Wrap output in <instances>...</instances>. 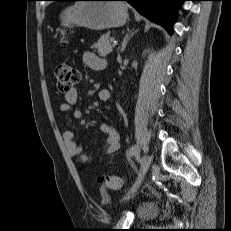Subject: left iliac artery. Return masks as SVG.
<instances>
[{
  "label": "left iliac artery",
  "mask_w": 231,
  "mask_h": 231,
  "mask_svg": "<svg viewBox=\"0 0 231 231\" xmlns=\"http://www.w3.org/2000/svg\"><path fill=\"white\" fill-rule=\"evenodd\" d=\"M139 146L138 145H133L130 149H129V152H128V157H132L134 155H138L139 154Z\"/></svg>",
  "instance_id": "1"
}]
</instances>
